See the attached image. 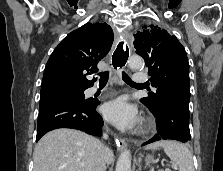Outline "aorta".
Instances as JSON below:
<instances>
[{
  "label": "aorta",
  "instance_id": "762f6f07",
  "mask_svg": "<svg viewBox=\"0 0 223 171\" xmlns=\"http://www.w3.org/2000/svg\"><path fill=\"white\" fill-rule=\"evenodd\" d=\"M128 64L132 69H140L143 67V59L140 56H132L130 57ZM115 171H131V153L129 150H124L116 164Z\"/></svg>",
  "mask_w": 223,
  "mask_h": 171
}]
</instances>
